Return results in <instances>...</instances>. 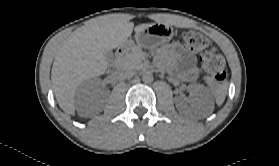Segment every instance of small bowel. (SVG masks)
Instances as JSON below:
<instances>
[{
    "instance_id": "1",
    "label": "small bowel",
    "mask_w": 279,
    "mask_h": 166,
    "mask_svg": "<svg viewBox=\"0 0 279 166\" xmlns=\"http://www.w3.org/2000/svg\"><path fill=\"white\" fill-rule=\"evenodd\" d=\"M158 67L163 65L173 69L174 60H179L182 64V71L186 76L193 77L196 74L195 58L188 53L178 42H173L162 47L157 53Z\"/></svg>"
}]
</instances>
